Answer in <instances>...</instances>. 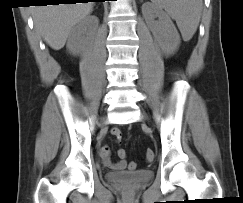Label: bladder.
Listing matches in <instances>:
<instances>
[{
  "label": "bladder",
  "instance_id": "obj_1",
  "mask_svg": "<svg viewBox=\"0 0 243 203\" xmlns=\"http://www.w3.org/2000/svg\"><path fill=\"white\" fill-rule=\"evenodd\" d=\"M153 178V171L143 169L138 171L107 172L106 179L112 183H141Z\"/></svg>",
  "mask_w": 243,
  "mask_h": 203
}]
</instances>
